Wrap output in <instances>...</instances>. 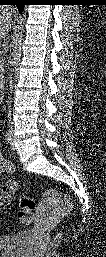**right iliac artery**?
<instances>
[{
  "mask_svg": "<svg viewBox=\"0 0 106 257\" xmlns=\"http://www.w3.org/2000/svg\"><path fill=\"white\" fill-rule=\"evenodd\" d=\"M6 143L9 144L11 141V134L7 131L5 134Z\"/></svg>",
  "mask_w": 106,
  "mask_h": 257,
  "instance_id": "right-iliac-artery-1",
  "label": "right iliac artery"
}]
</instances>
